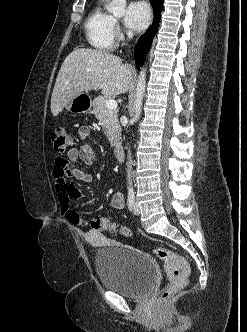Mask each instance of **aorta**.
Masks as SVG:
<instances>
[{
	"label": "aorta",
	"instance_id": "obj_1",
	"mask_svg": "<svg viewBox=\"0 0 247 332\" xmlns=\"http://www.w3.org/2000/svg\"><path fill=\"white\" fill-rule=\"evenodd\" d=\"M126 0H112L107 10L116 17H122L125 14ZM146 87V68H142L138 77L135 103H134V120H138L142 110L143 98ZM130 170L128 171V183L131 185Z\"/></svg>",
	"mask_w": 247,
	"mask_h": 332
}]
</instances>
